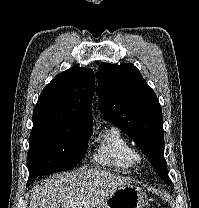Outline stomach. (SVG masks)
Segmentation results:
<instances>
[{"label": "stomach", "instance_id": "stomach-1", "mask_svg": "<svg viewBox=\"0 0 199 208\" xmlns=\"http://www.w3.org/2000/svg\"><path fill=\"white\" fill-rule=\"evenodd\" d=\"M147 203L145 192L132 185H123L94 208H144Z\"/></svg>", "mask_w": 199, "mask_h": 208}]
</instances>
